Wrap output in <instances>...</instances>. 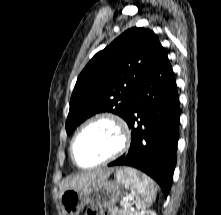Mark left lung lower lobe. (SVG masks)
Wrapping results in <instances>:
<instances>
[{
  "mask_svg": "<svg viewBox=\"0 0 221 215\" xmlns=\"http://www.w3.org/2000/svg\"><path fill=\"white\" fill-rule=\"evenodd\" d=\"M180 113L174 73L162 47L128 104L125 121L132 130L129 152L108 166L143 171L167 197L176 166Z\"/></svg>",
  "mask_w": 221,
  "mask_h": 215,
  "instance_id": "0a47b994",
  "label": "left lung lower lobe"
}]
</instances>
